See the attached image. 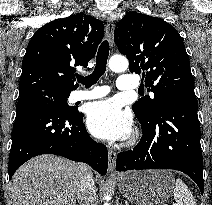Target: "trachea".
<instances>
[{
  "label": "trachea",
  "instance_id": "3493384b",
  "mask_svg": "<svg viewBox=\"0 0 212 205\" xmlns=\"http://www.w3.org/2000/svg\"><path fill=\"white\" fill-rule=\"evenodd\" d=\"M108 56L109 43L105 40L101 43L98 49L96 56V66L93 73L87 77L79 76L77 77V81L84 84L87 88L95 84L106 71Z\"/></svg>",
  "mask_w": 212,
  "mask_h": 205
}]
</instances>
